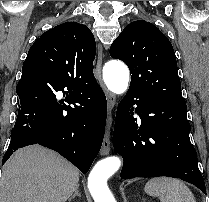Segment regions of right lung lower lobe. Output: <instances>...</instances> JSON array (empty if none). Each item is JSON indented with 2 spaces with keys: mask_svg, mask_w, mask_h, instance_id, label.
Returning <instances> with one entry per match:
<instances>
[{
  "mask_svg": "<svg viewBox=\"0 0 209 202\" xmlns=\"http://www.w3.org/2000/svg\"><path fill=\"white\" fill-rule=\"evenodd\" d=\"M16 91L20 106L2 164L16 149L40 144L86 173L99 153L105 132L107 102L98 83L79 90L47 72H39L22 74ZM57 91L66 95L69 105L58 102Z\"/></svg>",
  "mask_w": 209,
  "mask_h": 202,
  "instance_id": "obj_1",
  "label": "right lung lower lobe"
}]
</instances>
